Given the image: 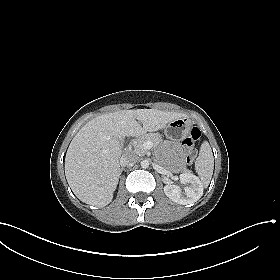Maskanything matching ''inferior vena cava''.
<instances>
[{
    "label": "inferior vena cava",
    "instance_id": "obj_1",
    "mask_svg": "<svg viewBox=\"0 0 280 280\" xmlns=\"http://www.w3.org/2000/svg\"><path fill=\"white\" fill-rule=\"evenodd\" d=\"M138 157L134 154L128 153V154H123L120 158V165L122 167L134 165L137 163Z\"/></svg>",
    "mask_w": 280,
    "mask_h": 280
}]
</instances>
